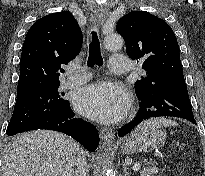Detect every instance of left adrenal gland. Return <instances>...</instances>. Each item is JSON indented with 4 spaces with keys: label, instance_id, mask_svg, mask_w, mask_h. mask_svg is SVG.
Returning a JSON list of instances; mask_svg holds the SVG:
<instances>
[{
    "label": "left adrenal gland",
    "instance_id": "obj_1",
    "mask_svg": "<svg viewBox=\"0 0 205 176\" xmlns=\"http://www.w3.org/2000/svg\"><path fill=\"white\" fill-rule=\"evenodd\" d=\"M124 172H125V176H130V173L126 165H124Z\"/></svg>",
    "mask_w": 205,
    "mask_h": 176
}]
</instances>
